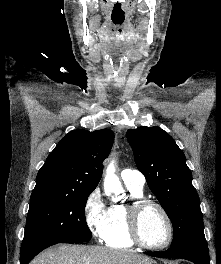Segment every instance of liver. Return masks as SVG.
I'll return each instance as SVG.
<instances>
[{"mask_svg": "<svg viewBox=\"0 0 221 264\" xmlns=\"http://www.w3.org/2000/svg\"><path fill=\"white\" fill-rule=\"evenodd\" d=\"M152 260L131 251L101 246L61 245L48 249L30 264H150Z\"/></svg>", "mask_w": 221, "mask_h": 264, "instance_id": "liver-1", "label": "liver"}]
</instances>
